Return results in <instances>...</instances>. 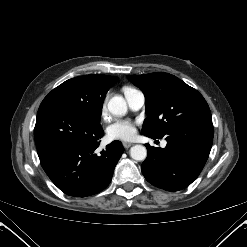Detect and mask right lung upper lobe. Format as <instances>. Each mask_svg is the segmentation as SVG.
<instances>
[{
  "label": "right lung upper lobe",
  "instance_id": "cb5924a9",
  "mask_svg": "<svg viewBox=\"0 0 247 247\" xmlns=\"http://www.w3.org/2000/svg\"><path fill=\"white\" fill-rule=\"evenodd\" d=\"M95 78L103 85L105 90H109L118 80V77L115 76H108V75H101V74H94Z\"/></svg>",
  "mask_w": 247,
  "mask_h": 247
}]
</instances>
